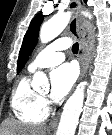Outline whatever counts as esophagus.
Segmentation results:
<instances>
[{
	"mask_svg": "<svg viewBox=\"0 0 112 135\" xmlns=\"http://www.w3.org/2000/svg\"><path fill=\"white\" fill-rule=\"evenodd\" d=\"M69 9L72 11L77 10V12H79L81 9V2L78 0H71ZM69 29L79 41V59L81 65L80 78L82 79L90 61V55L93 45V35L87 21L79 14H76L72 17L69 23ZM59 116L60 113H58L56 117L52 119V121L50 122L51 128L57 127Z\"/></svg>",
	"mask_w": 112,
	"mask_h": 135,
	"instance_id": "1",
	"label": "esophagus"
}]
</instances>
